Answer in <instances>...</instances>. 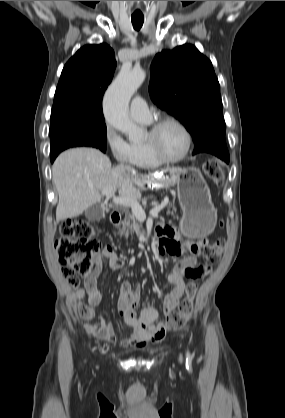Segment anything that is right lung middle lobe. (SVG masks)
<instances>
[{"mask_svg": "<svg viewBox=\"0 0 285 418\" xmlns=\"http://www.w3.org/2000/svg\"><path fill=\"white\" fill-rule=\"evenodd\" d=\"M106 124L102 107L53 105L50 122V156L76 146H92L106 152Z\"/></svg>", "mask_w": 285, "mask_h": 418, "instance_id": "right-lung-middle-lobe-1", "label": "right lung middle lobe"}]
</instances>
